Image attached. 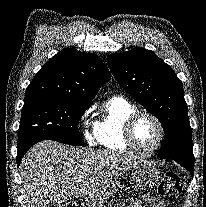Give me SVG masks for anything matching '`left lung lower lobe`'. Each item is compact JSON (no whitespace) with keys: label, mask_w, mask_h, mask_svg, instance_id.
<instances>
[{"label":"left lung lower lobe","mask_w":206,"mask_h":207,"mask_svg":"<svg viewBox=\"0 0 206 207\" xmlns=\"http://www.w3.org/2000/svg\"><path fill=\"white\" fill-rule=\"evenodd\" d=\"M178 163L181 164L182 166H184L193 175V173H194V164L188 163V162H181V161H179Z\"/></svg>","instance_id":"left-lung-lower-lobe-1"}]
</instances>
